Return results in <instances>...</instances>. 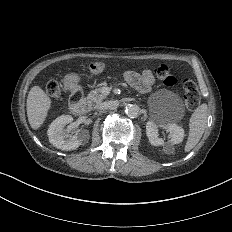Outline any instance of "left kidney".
<instances>
[{"mask_svg":"<svg viewBox=\"0 0 232 232\" xmlns=\"http://www.w3.org/2000/svg\"><path fill=\"white\" fill-rule=\"evenodd\" d=\"M158 128H163L169 132V141L167 144H178L183 141L184 130L181 126L172 123L150 120L146 124V135L152 145L160 146L165 144L164 140L158 137Z\"/></svg>","mask_w":232,"mask_h":232,"instance_id":"1","label":"left kidney"}]
</instances>
